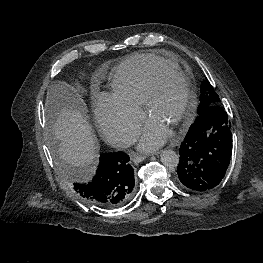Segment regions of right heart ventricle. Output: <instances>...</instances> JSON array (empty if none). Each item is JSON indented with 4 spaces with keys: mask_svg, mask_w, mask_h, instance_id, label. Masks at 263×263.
<instances>
[{
    "mask_svg": "<svg viewBox=\"0 0 263 263\" xmlns=\"http://www.w3.org/2000/svg\"><path fill=\"white\" fill-rule=\"evenodd\" d=\"M160 68H178L175 64L151 54H136L117 65L110 75L112 95L139 108L152 75Z\"/></svg>",
    "mask_w": 263,
    "mask_h": 263,
    "instance_id": "obj_1",
    "label": "right heart ventricle"
}]
</instances>
